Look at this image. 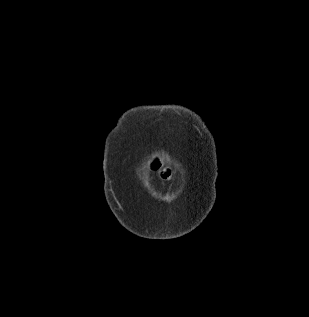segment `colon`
<instances>
[{"instance_id": "1", "label": "colon", "mask_w": 309, "mask_h": 317, "mask_svg": "<svg viewBox=\"0 0 309 317\" xmlns=\"http://www.w3.org/2000/svg\"><path fill=\"white\" fill-rule=\"evenodd\" d=\"M170 175V171L169 170H167V171H165L164 173H163V176L164 177H168Z\"/></svg>"}]
</instances>
